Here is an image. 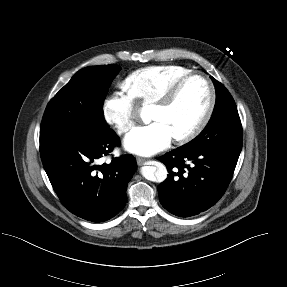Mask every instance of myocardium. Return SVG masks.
Returning <instances> with one entry per match:
<instances>
[{
    "label": "myocardium",
    "mask_w": 287,
    "mask_h": 287,
    "mask_svg": "<svg viewBox=\"0 0 287 287\" xmlns=\"http://www.w3.org/2000/svg\"><path fill=\"white\" fill-rule=\"evenodd\" d=\"M199 77L203 79L209 89V102L207 108L199 120V122L188 132L183 135L173 137L174 141L177 143H187L197 137L207 126L209 123L212 114L214 112L216 106V89L213 82L210 80L208 76L200 72H190L181 78H179L167 91L166 93L160 97L156 102H154V106L158 108H168L171 106L175 99L177 98L179 92L181 91L182 87L192 78Z\"/></svg>",
    "instance_id": "f54148a6"
}]
</instances>
